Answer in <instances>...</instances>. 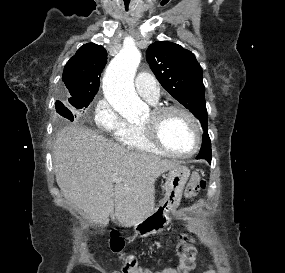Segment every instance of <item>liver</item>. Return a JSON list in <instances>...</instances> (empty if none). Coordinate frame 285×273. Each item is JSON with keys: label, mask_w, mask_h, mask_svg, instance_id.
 Segmentation results:
<instances>
[{"label": "liver", "mask_w": 285, "mask_h": 273, "mask_svg": "<svg viewBox=\"0 0 285 273\" xmlns=\"http://www.w3.org/2000/svg\"><path fill=\"white\" fill-rule=\"evenodd\" d=\"M53 161L64 197L104 227L109 217L125 227L149 217L155 210V180L179 165L127 149L76 124L56 135ZM113 175L119 182L111 180Z\"/></svg>", "instance_id": "6515ba94"}]
</instances>
